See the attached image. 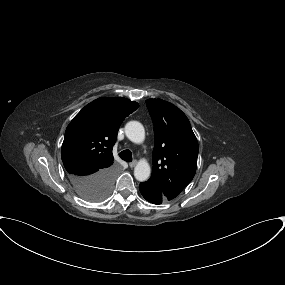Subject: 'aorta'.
<instances>
[{"label":"aorta","instance_id":"762f6f07","mask_svg":"<svg viewBox=\"0 0 285 285\" xmlns=\"http://www.w3.org/2000/svg\"><path fill=\"white\" fill-rule=\"evenodd\" d=\"M125 134L131 142L136 144H141L145 139L144 127L138 121L128 122L125 126ZM150 173V165L144 160L139 161L134 168V176L140 182L148 180Z\"/></svg>","mask_w":285,"mask_h":285}]
</instances>
